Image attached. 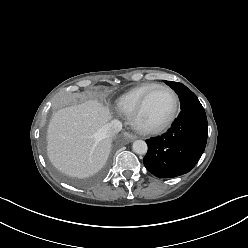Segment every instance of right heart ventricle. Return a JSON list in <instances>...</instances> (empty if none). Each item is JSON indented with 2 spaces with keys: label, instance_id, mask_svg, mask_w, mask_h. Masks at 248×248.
<instances>
[{
  "label": "right heart ventricle",
  "instance_id": "right-heart-ventricle-1",
  "mask_svg": "<svg viewBox=\"0 0 248 248\" xmlns=\"http://www.w3.org/2000/svg\"><path fill=\"white\" fill-rule=\"evenodd\" d=\"M154 85L156 84L144 83L125 92L116 101L117 110L124 115L131 116L141 97Z\"/></svg>",
  "mask_w": 248,
  "mask_h": 248
}]
</instances>
